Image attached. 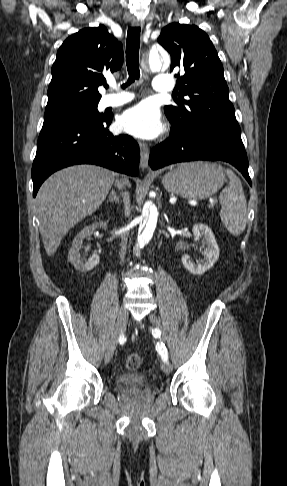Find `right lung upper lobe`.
Returning a JSON list of instances; mask_svg holds the SVG:
<instances>
[{"instance_id":"right-lung-upper-lobe-1","label":"right lung upper lobe","mask_w":287,"mask_h":486,"mask_svg":"<svg viewBox=\"0 0 287 486\" xmlns=\"http://www.w3.org/2000/svg\"><path fill=\"white\" fill-rule=\"evenodd\" d=\"M123 64L122 44L103 25L85 28L60 46L52 66L46 108L81 101H98L104 74Z\"/></svg>"}]
</instances>
